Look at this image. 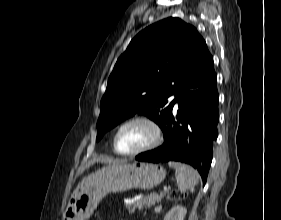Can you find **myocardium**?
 I'll use <instances>...</instances> for the list:
<instances>
[{"instance_id":"myocardium-1","label":"myocardium","mask_w":281,"mask_h":220,"mask_svg":"<svg viewBox=\"0 0 281 220\" xmlns=\"http://www.w3.org/2000/svg\"><path fill=\"white\" fill-rule=\"evenodd\" d=\"M137 122L145 123L151 127V129L153 130V138H152L151 142L149 144H147L146 146H144L138 150L132 151V152L119 151V149L117 148V139H118L120 132L126 126H128L132 123H137ZM162 141H163L162 129H161L160 125L154 119L147 117V116H135V117H132V118L124 121L117 128L114 138H113V149L117 154L122 155V156H137L139 154H142V153L155 149L162 143Z\"/></svg>"}]
</instances>
